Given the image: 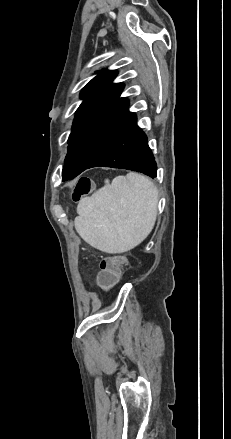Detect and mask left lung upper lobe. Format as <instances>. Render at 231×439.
I'll use <instances>...</instances> for the list:
<instances>
[{"mask_svg":"<svg viewBox=\"0 0 231 439\" xmlns=\"http://www.w3.org/2000/svg\"><path fill=\"white\" fill-rule=\"evenodd\" d=\"M98 73L81 91L83 102L75 113L68 139L63 180L73 179L85 170L104 141L129 113V102L119 98L124 85L112 83L117 72Z\"/></svg>","mask_w":231,"mask_h":439,"instance_id":"5c2ea615","label":"left lung upper lobe"}]
</instances>
